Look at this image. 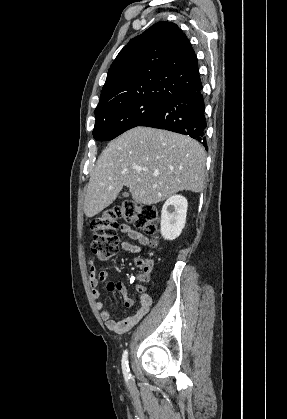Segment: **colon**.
<instances>
[{
  "instance_id": "5ec220e1",
  "label": "colon",
  "mask_w": 287,
  "mask_h": 419,
  "mask_svg": "<svg viewBox=\"0 0 287 419\" xmlns=\"http://www.w3.org/2000/svg\"><path fill=\"white\" fill-rule=\"evenodd\" d=\"M120 219L132 223L135 227L142 229L152 238L155 237L159 221L157 209L153 206L140 204L133 200H124L103 211L99 216L94 218L90 224L93 233L91 250L100 260H107L117 252L118 221ZM137 265L146 271L149 267V262L139 258L137 259ZM147 279V274L141 276V282H145ZM138 288L142 289V285H139Z\"/></svg>"
}]
</instances>
